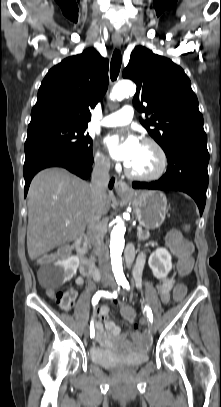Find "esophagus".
<instances>
[{
  "label": "esophagus",
  "instance_id": "esophagus-1",
  "mask_svg": "<svg viewBox=\"0 0 221 407\" xmlns=\"http://www.w3.org/2000/svg\"><path fill=\"white\" fill-rule=\"evenodd\" d=\"M112 41L116 47H120L122 44V37L120 35H113ZM115 190L118 194H128L131 192L128 184L122 180H117L115 182Z\"/></svg>",
  "mask_w": 221,
  "mask_h": 407
}]
</instances>
